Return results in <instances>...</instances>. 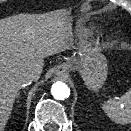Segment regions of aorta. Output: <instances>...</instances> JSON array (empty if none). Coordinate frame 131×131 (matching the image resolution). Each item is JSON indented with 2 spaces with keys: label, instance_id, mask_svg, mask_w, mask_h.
I'll list each match as a JSON object with an SVG mask.
<instances>
[{
  "label": "aorta",
  "instance_id": "762f6f07",
  "mask_svg": "<svg viewBox=\"0 0 131 131\" xmlns=\"http://www.w3.org/2000/svg\"><path fill=\"white\" fill-rule=\"evenodd\" d=\"M51 94L56 100H64L70 95V88L62 81L55 82L51 87Z\"/></svg>",
  "mask_w": 131,
  "mask_h": 131
}]
</instances>
